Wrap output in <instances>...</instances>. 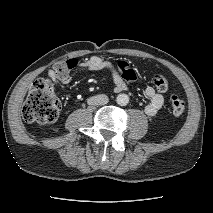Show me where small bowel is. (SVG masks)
Here are the masks:
<instances>
[{
    "instance_id": "small-bowel-1",
    "label": "small bowel",
    "mask_w": 213,
    "mask_h": 213,
    "mask_svg": "<svg viewBox=\"0 0 213 213\" xmlns=\"http://www.w3.org/2000/svg\"><path fill=\"white\" fill-rule=\"evenodd\" d=\"M76 60V59H75ZM76 66L94 72H111L113 73L115 90L116 92H122L128 89V85L137 80L138 74L136 70L128 68L127 73L118 74L114 69V64L102 57L92 56L85 60L78 62L76 60ZM48 75L58 81L60 84H67L71 80V75L66 74L64 76H58L54 70H49ZM145 95L149 98L148 104L145 106L144 111L146 115L153 117L164 104V97L162 94L156 91L152 86H147L144 90Z\"/></svg>"
}]
</instances>
